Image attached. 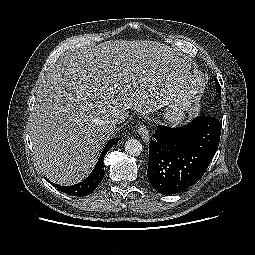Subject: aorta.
Returning a JSON list of instances; mask_svg holds the SVG:
<instances>
[{
	"mask_svg": "<svg viewBox=\"0 0 255 255\" xmlns=\"http://www.w3.org/2000/svg\"><path fill=\"white\" fill-rule=\"evenodd\" d=\"M125 151L131 156H138L142 152V144L140 141L134 138H130L125 142L124 145Z\"/></svg>",
	"mask_w": 255,
	"mask_h": 255,
	"instance_id": "aorta-1",
	"label": "aorta"
}]
</instances>
